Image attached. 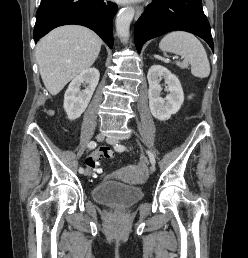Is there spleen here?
Returning <instances> with one entry per match:
<instances>
[{"label": "spleen", "instance_id": "1", "mask_svg": "<svg viewBox=\"0 0 248 258\" xmlns=\"http://www.w3.org/2000/svg\"><path fill=\"white\" fill-rule=\"evenodd\" d=\"M160 49L181 55L184 60L182 67L191 66L195 77L206 78L210 74V64L207 53L197 37L185 31H173L163 37L159 43Z\"/></svg>", "mask_w": 248, "mask_h": 258}]
</instances>
